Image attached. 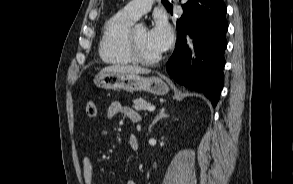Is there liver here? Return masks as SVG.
<instances>
[{
	"label": "liver",
	"mask_w": 293,
	"mask_h": 184,
	"mask_svg": "<svg viewBox=\"0 0 293 184\" xmlns=\"http://www.w3.org/2000/svg\"><path fill=\"white\" fill-rule=\"evenodd\" d=\"M101 72H120V73H131V74H148L150 70L141 68L136 65H112L105 67Z\"/></svg>",
	"instance_id": "liver-1"
}]
</instances>
